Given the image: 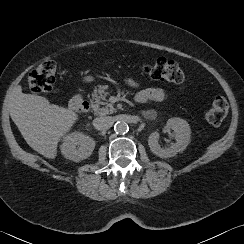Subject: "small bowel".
Here are the masks:
<instances>
[{
	"mask_svg": "<svg viewBox=\"0 0 244 244\" xmlns=\"http://www.w3.org/2000/svg\"><path fill=\"white\" fill-rule=\"evenodd\" d=\"M125 82L129 87L138 89L135 100L139 103L148 101H162L167 97V92L162 88L139 89L140 84L132 78H127Z\"/></svg>",
	"mask_w": 244,
	"mask_h": 244,
	"instance_id": "small-bowel-1",
	"label": "small bowel"
}]
</instances>
